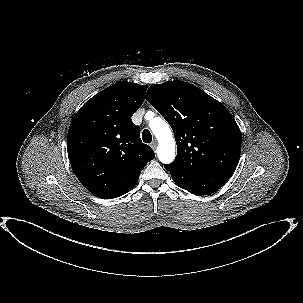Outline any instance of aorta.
Returning <instances> with one entry per match:
<instances>
[{
    "label": "aorta",
    "mask_w": 303,
    "mask_h": 303,
    "mask_svg": "<svg viewBox=\"0 0 303 303\" xmlns=\"http://www.w3.org/2000/svg\"><path fill=\"white\" fill-rule=\"evenodd\" d=\"M149 126L159 142L157 147V155L159 160L164 164L173 162L176 154L175 140L169 125L166 121L157 117L150 121Z\"/></svg>",
    "instance_id": "aorta-1"
}]
</instances>
